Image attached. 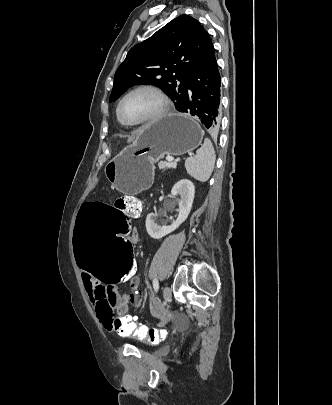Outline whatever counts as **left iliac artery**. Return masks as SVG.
I'll return each mask as SVG.
<instances>
[{"label": "left iliac artery", "instance_id": "left-iliac-artery-1", "mask_svg": "<svg viewBox=\"0 0 332 405\" xmlns=\"http://www.w3.org/2000/svg\"><path fill=\"white\" fill-rule=\"evenodd\" d=\"M153 288H154V290H155L156 292H157L158 289H159V282H158L157 279H154V280H153Z\"/></svg>", "mask_w": 332, "mask_h": 405}]
</instances>
